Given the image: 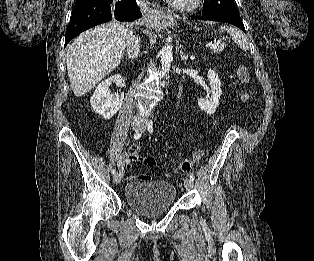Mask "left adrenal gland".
Listing matches in <instances>:
<instances>
[{
    "mask_svg": "<svg viewBox=\"0 0 314 261\" xmlns=\"http://www.w3.org/2000/svg\"><path fill=\"white\" fill-rule=\"evenodd\" d=\"M180 56H181V59H182L183 61H187L188 56H187V55H184L183 50L180 51Z\"/></svg>",
    "mask_w": 314,
    "mask_h": 261,
    "instance_id": "left-adrenal-gland-1",
    "label": "left adrenal gland"
}]
</instances>
